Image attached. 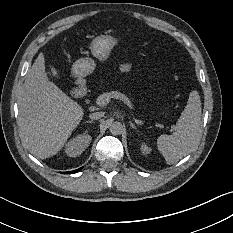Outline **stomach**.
Wrapping results in <instances>:
<instances>
[{"label":"stomach","instance_id":"stomach-1","mask_svg":"<svg viewBox=\"0 0 233 233\" xmlns=\"http://www.w3.org/2000/svg\"><path fill=\"white\" fill-rule=\"evenodd\" d=\"M114 43L112 37L100 35L92 41L91 51L96 58L105 59L109 55ZM94 67L95 63L91 59L82 58L74 63L72 71L77 78L81 79L88 76L94 70Z\"/></svg>","mask_w":233,"mask_h":233}]
</instances>
